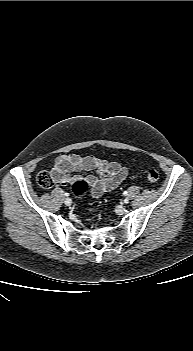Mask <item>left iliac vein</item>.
I'll return each instance as SVG.
<instances>
[{
	"mask_svg": "<svg viewBox=\"0 0 193 351\" xmlns=\"http://www.w3.org/2000/svg\"><path fill=\"white\" fill-rule=\"evenodd\" d=\"M129 202V200L126 198L124 199V203L127 204Z\"/></svg>",
	"mask_w": 193,
	"mask_h": 351,
	"instance_id": "1",
	"label": "left iliac vein"
}]
</instances>
